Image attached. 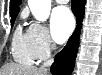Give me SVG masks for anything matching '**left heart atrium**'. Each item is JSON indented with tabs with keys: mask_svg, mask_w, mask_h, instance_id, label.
<instances>
[{
	"mask_svg": "<svg viewBox=\"0 0 102 75\" xmlns=\"http://www.w3.org/2000/svg\"><path fill=\"white\" fill-rule=\"evenodd\" d=\"M74 26V17L66 6L54 9L51 15V35L56 43H64L72 33Z\"/></svg>",
	"mask_w": 102,
	"mask_h": 75,
	"instance_id": "left-heart-atrium-1",
	"label": "left heart atrium"
}]
</instances>
